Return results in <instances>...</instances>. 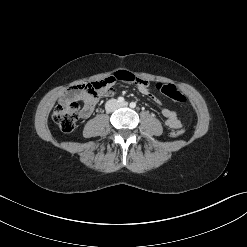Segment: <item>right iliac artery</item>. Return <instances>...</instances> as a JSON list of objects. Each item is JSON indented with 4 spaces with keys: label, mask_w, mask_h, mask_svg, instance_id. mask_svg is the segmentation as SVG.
Returning <instances> with one entry per match:
<instances>
[{
    "label": "right iliac artery",
    "mask_w": 247,
    "mask_h": 247,
    "mask_svg": "<svg viewBox=\"0 0 247 247\" xmlns=\"http://www.w3.org/2000/svg\"><path fill=\"white\" fill-rule=\"evenodd\" d=\"M124 101H125V100H124V98H123V97H119V98H118V102H119V103H121V104H122V103H124Z\"/></svg>",
    "instance_id": "1"
}]
</instances>
